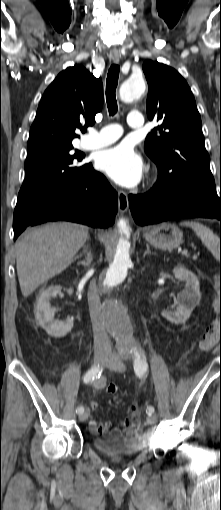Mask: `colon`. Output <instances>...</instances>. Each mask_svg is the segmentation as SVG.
I'll return each mask as SVG.
<instances>
[{
	"label": "colon",
	"mask_w": 221,
	"mask_h": 510,
	"mask_svg": "<svg viewBox=\"0 0 221 510\" xmlns=\"http://www.w3.org/2000/svg\"><path fill=\"white\" fill-rule=\"evenodd\" d=\"M220 342L221 343V314L220 320L217 323H214L203 335L202 339L199 341V348L203 352H208L212 350L215 345ZM107 392L109 394H115L117 392V386L114 383H111L107 387ZM119 401V400H117ZM134 416L139 419V412L136 410L133 412Z\"/></svg>",
	"instance_id": "5ec220e1"
}]
</instances>
